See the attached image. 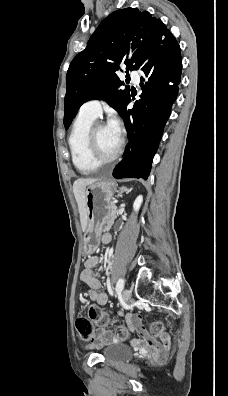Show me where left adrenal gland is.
<instances>
[{"instance_id": "obj_1", "label": "left adrenal gland", "mask_w": 228, "mask_h": 396, "mask_svg": "<svg viewBox=\"0 0 228 396\" xmlns=\"http://www.w3.org/2000/svg\"><path fill=\"white\" fill-rule=\"evenodd\" d=\"M124 192H128V189L125 188V187H122V188L120 189V192L118 193V196H117V197H121L122 194H123Z\"/></svg>"}]
</instances>
